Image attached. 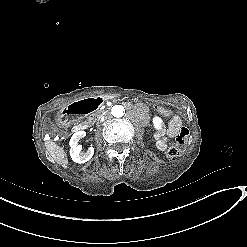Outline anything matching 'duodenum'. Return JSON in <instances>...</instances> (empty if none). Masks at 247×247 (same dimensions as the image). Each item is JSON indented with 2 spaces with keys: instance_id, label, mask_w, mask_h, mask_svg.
I'll return each mask as SVG.
<instances>
[{
  "instance_id": "1",
  "label": "duodenum",
  "mask_w": 247,
  "mask_h": 247,
  "mask_svg": "<svg viewBox=\"0 0 247 247\" xmlns=\"http://www.w3.org/2000/svg\"><path fill=\"white\" fill-rule=\"evenodd\" d=\"M104 99L100 96L89 97L81 99L70 104L67 109H65L63 116L67 120H75L78 117L88 114L96 109H98L103 103ZM76 131H82L87 128V124L84 122L75 125Z\"/></svg>"
}]
</instances>
